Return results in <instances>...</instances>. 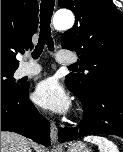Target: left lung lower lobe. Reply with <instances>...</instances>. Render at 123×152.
Segmentation results:
<instances>
[{"instance_id":"obj_1","label":"left lung lower lobe","mask_w":123,"mask_h":152,"mask_svg":"<svg viewBox=\"0 0 123 152\" xmlns=\"http://www.w3.org/2000/svg\"><path fill=\"white\" fill-rule=\"evenodd\" d=\"M77 97L83 104V120L76 128H60L59 141L96 134L123 138V85L107 84L96 88L87 98Z\"/></svg>"}]
</instances>
